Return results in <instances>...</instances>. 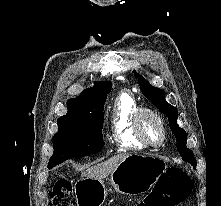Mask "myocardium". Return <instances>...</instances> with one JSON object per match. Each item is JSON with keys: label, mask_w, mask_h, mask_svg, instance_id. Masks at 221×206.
I'll use <instances>...</instances> for the list:
<instances>
[{"label": "myocardium", "mask_w": 221, "mask_h": 206, "mask_svg": "<svg viewBox=\"0 0 221 206\" xmlns=\"http://www.w3.org/2000/svg\"><path fill=\"white\" fill-rule=\"evenodd\" d=\"M144 116H151L160 125L161 131H162V138L159 143L154 144V143H151L147 139L143 130V126H142V120ZM133 122H134V131H135L136 136L146 147L160 148L165 144L166 139H167V127H166L164 119L158 112L150 108L139 107L135 111Z\"/></svg>", "instance_id": "obj_1"}]
</instances>
